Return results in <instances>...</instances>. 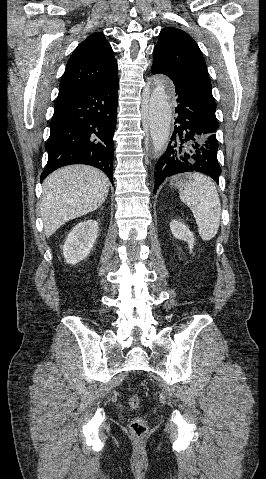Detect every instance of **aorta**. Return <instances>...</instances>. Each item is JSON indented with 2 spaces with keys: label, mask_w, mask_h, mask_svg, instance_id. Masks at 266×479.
<instances>
[{
  "label": "aorta",
  "mask_w": 266,
  "mask_h": 479,
  "mask_svg": "<svg viewBox=\"0 0 266 479\" xmlns=\"http://www.w3.org/2000/svg\"><path fill=\"white\" fill-rule=\"evenodd\" d=\"M153 83L149 98H144L143 114L145 121L149 123L155 155H158L170 135L172 108L166 91L168 80L162 75H156L153 77Z\"/></svg>",
  "instance_id": "obj_1"
}]
</instances>
